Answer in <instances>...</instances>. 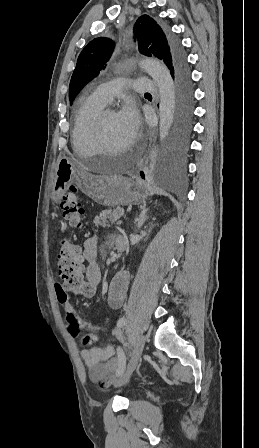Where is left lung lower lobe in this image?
Returning a JSON list of instances; mask_svg holds the SVG:
<instances>
[{
  "label": "left lung lower lobe",
  "instance_id": "obj_1",
  "mask_svg": "<svg viewBox=\"0 0 259 448\" xmlns=\"http://www.w3.org/2000/svg\"><path fill=\"white\" fill-rule=\"evenodd\" d=\"M173 40L177 55L169 69L175 81L176 118L170 149L162 168L158 172V180L167 187L178 186L185 175L194 117V92L190 70L179 41ZM140 175L142 178L145 177L143 172H140Z\"/></svg>",
  "mask_w": 259,
  "mask_h": 448
}]
</instances>
